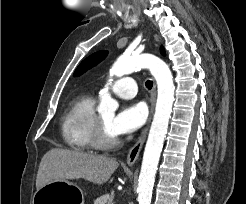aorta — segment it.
Masks as SVG:
<instances>
[{
    "label": "aorta",
    "mask_w": 246,
    "mask_h": 204,
    "mask_svg": "<svg viewBox=\"0 0 246 204\" xmlns=\"http://www.w3.org/2000/svg\"><path fill=\"white\" fill-rule=\"evenodd\" d=\"M138 68L150 70L156 80L158 92L155 114L144 150L137 189L139 204H150L158 162L172 112L175 87L169 66L162 59L151 54L120 56L110 69V75L121 77ZM100 98L98 112L102 116L113 117L119 106L118 102L111 97L107 89L100 92Z\"/></svg>",
    "instance_id": "762f6f07"
}]
</instances>
